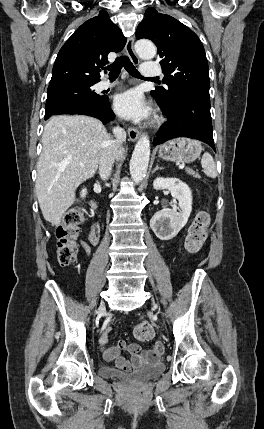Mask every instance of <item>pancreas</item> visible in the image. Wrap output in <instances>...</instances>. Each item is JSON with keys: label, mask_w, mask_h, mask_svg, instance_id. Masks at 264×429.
<instances>
[{"label": "pancreas", "mask_w": 264, "mask_h": 429, "mask_svg": "<svg viewBox=\"0 0 264 429\" xmlns=\"http://www.w3.org/2000/svg\"><path fill=\"white\" fill-rule=\"evenodd\" d=\"M186 172H187L189 175H192L193 177H196V178H198V177H199V174H198L197 172H195L194 170L186 169Z\"/></svg>", "instance_id": "cf45deb5"}]
</instances>
